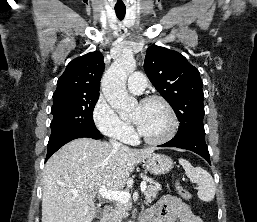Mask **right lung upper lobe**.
<instances>
[{"instance_id": "cb5924a9", "label": "right lung upper lobe", "mask_w": 257, "mask_h": 222, "mask_svg": "<svg viewBox=\"0 0 257 222\" xmlns=\"http://www.w3.org/2000/svg\"><path fill=\"white\" fill-rule=\"evenodd\" d=\"M104 67L103 55L98 51L73 59L57 81L53 102L99 96Z\"/></svg>"}]
</instances>
